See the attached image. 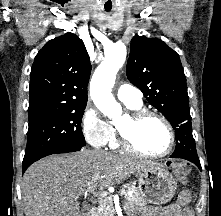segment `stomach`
I'll return each instance as SVG.
<instances>
[{
  "instance_id": "stomach-1",
  "label": "stomach",
  "mask_w": 221,
  "mask_h": 216,
  "mask_svg": "<svg viewBox=\"0 0 221 216\" xmlns=\"http://www.w3.org/2000/svg\"><path fill=\"white\" fill-rule=\"evenodd\" d=\"M136 177L138 191L145 204L163 205L175 195L177 182L172 174L160 165H151L138 170Z\"/></svg>"
}]
</instances>
